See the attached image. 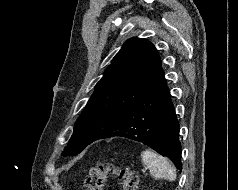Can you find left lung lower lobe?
I'll return each mask as SVG.
<instances>
[{
	"instance_id": "obj_1",
	"label": "left lung lower lobe",
	"mask_w": 238,
	"mask_h": 190,
	"mask_svg": "<svg viewBox=\"0 0 238 190\" xmlns=\"http://www.w3.org/2000/svg\"><path fill=\"white\" fill-rule=\"evenodd\" d=\"M179 123L163 72L120 116L105 137L123 136L151 147L171 159L181 171Z\"/></svg>"
}]
</instances>
